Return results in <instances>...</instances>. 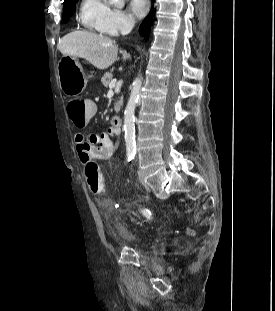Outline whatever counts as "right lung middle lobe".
<instances>
[{
    "label": "right lung middle lobe",
    "instance_id": "1",
    "mask_svg": "<svg viewBox=\"0 0 275 311\" xmlns=\"http://www.w3.org/2000/svg\"><path fill=\"white\" fill-rule=\"evenodd\" d=\"M78 0H64L63 3V23H66L75 11V3Z\"/></svg>",
    "mask_w": 275,
    "mask_h": 311
}]
</instances>
